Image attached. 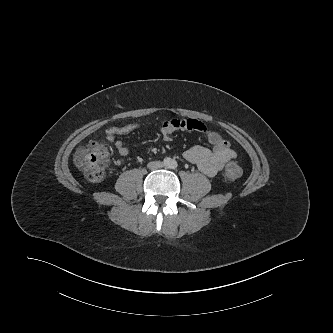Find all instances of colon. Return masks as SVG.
I'll list each match as a JSON object with an SVG mask.
<instances>
[{
    "label": "colon",
    "instance_id": "colon-1",
    "mask_svg": "<svg viewBox=\"0 0 333 333\" xmlns=\"http://www.w3.org/2000/svg\"><path fill=\"white\" fill-rule=\"evenodd\" d=\"M74 162L87 179L99 181L105 175L109 152L102 143L91 142L76 152ZM224 175L228 180H236L241 175V167L236 162H231L227 165Z\"/></svg>",
    "mask_w": 333,
    "mask_h": 333
}]
</instances>
